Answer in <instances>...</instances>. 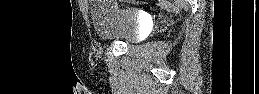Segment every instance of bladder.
I'll list each match as a JSON object with an SVG mask.
<instances>
[{"label": "bladder", "instance_id": "31cf9c89", "mask_svg": "<svg viewBox=\"0 0 259 94\" xmlns=\"http://www.w3.org/2000/svg\"><path fill=\"white\" fill-rule=\"evenodd\" d=\"M90 16L95 30L105 40L133 44L140 39L142 19L134 9L121 8L108 1H94Z\"/></svg>", "mask_w": 259, "mask_h": 94}]
</instances>
